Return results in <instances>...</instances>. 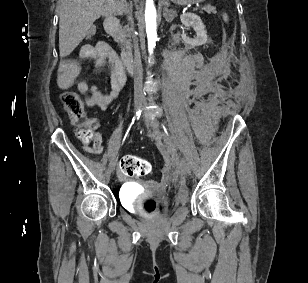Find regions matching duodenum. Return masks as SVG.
<instances>
[{
	"label": "duodenum",
	"mask_w": 308,
	"mask_h": 283,
	"mask_svg": "<svg viewBox=\"0 0 308 283\" xmlns=\"http://www.w3.org/2000/svg\"><path fill=\"white\" fill-rule=\"evenodd\" d=\"M106 33L122 48V62L128 73L133 72V55L123 47V40L120 34V22L116 17H108L104 22Z\"/></svg>",
	"instance_id": "1"
}]
</instances>
